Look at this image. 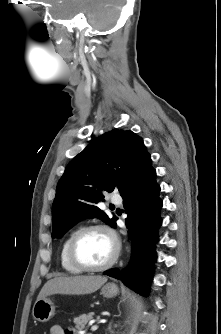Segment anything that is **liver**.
Returning a JSON list of instances; mask_svg holds the SVG:
<instances>
[{"instance_id":"obj_1","label":"liver","mask_w":221,"mask_h":334,"mask_svg":"<svg viewBox=\"0 0 221 334\" xmlns=\"http://www.w3.org/2000/svg\"><path fill=\"white\" fill-rule=\"evenodd\" d=\"M107 278L104 276L56 277L45 283L37 300L52 294H89L97 291Z\"/></svg>"}]
</instances>
